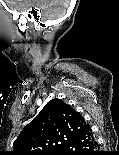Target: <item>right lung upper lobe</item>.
<instances>
[{
  "label": "right lung upper lobe",
  "instance_id": "cb5924a9",
  "mask_svg": "<svg viewBox=\"0 0 119 155\" xmlns=\"http://www.w3.org/2000/svg\"><path fill=\"white\" fill-rule=\"evenodd\" d=\"M88 127L70 105L53 99L22 130L10 155H58L69 141Z\"/></svg>",
  "mask_w": 119,
  "mask_h": 155
}]
</instances>
